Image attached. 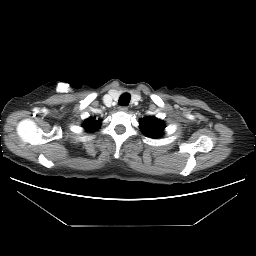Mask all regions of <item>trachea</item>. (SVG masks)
<instances>
[{
  "instance_id": "trachea-1",
  "label": "trachea",
  "mask_w": 256,
  "mask_h": 256,
  "mask_svg": "<svg viewBox=\"0 0 256 256\" xmlns=\"http://www.w3.org/2000/svg\"><path fill=\"white\" fill-rule=\"evenodd\" d=\"M131 96L129 93H123L118 100V104L121 106H127L130 102Z\"/></svg>"
}]
</instances>
